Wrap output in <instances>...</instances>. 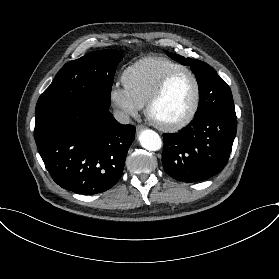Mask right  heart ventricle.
<instances>
[{
	"instance_id": "right-heart-ventricle-1",
	"label": "right heart ventricle",
	"mask_w": 279,
	"mask_h": 279,
	"mask_svg": "<svg viewBox=\"0 0 279 279\" xmlns=\"http://www.w3.org/2000/svg\"><path fill=\"white\" fill-rule=\"evenodd\" d=\"M180 69H185V66L166 58H145L128 68L124 82L147 102L160 81L167 74Z\"/></svg>"
}]
</instances>
